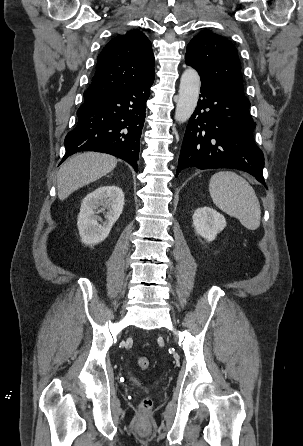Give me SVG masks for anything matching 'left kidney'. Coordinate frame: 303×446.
Listing matches in <instances>:
<instances>
[{
	"instance_id": "1",
	"label": "left kidney",
	"mask_w": 303,
	"mask_h": 446,
	"mask_svg": "<svg viewBox=\"0 0 303 446\" xmlns=\"http://www.w3.org/2000/svg\"><path fill=\"white\" fill-rule=\"evenodd\" d=\"M193 225L198 235L211 242L226 227V220L215 209L201 207L193 214Z\"/></svg>"
}]
</instances>
